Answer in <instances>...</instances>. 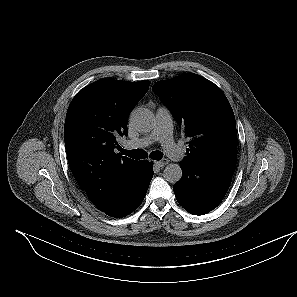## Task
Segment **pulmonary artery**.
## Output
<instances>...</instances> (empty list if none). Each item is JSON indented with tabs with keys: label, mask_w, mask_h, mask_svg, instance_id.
Here are the masks:
<instances>
[{
	"label": "pulmonary artery",
	"mask_w": 297,
	"mask_h": 297,
	"mask_svg": "<svg viewBox=\"0 0 297 297\" xmlns=\"http://www.w3.org/2000/svg\"><path fill=\"white\" fill-rule=\"evenodd\" d=\"M172 132L173 119L170 111L166 107H159L156 110L155 123L150 134L142 138L127 140L123 145L127 149H133L146 147L155 141H159L171 157L181 160L184 154L174 142Z\"/></svg>",
	"instance_id": "pulmonary-artery-1"
}]
</instances>
